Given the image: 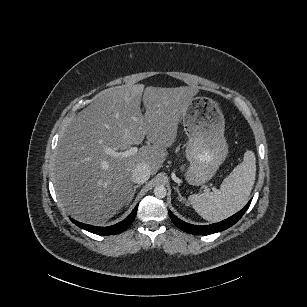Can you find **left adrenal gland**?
<instances>
[{
  "mask_svg": "<svg viewBox=\"0 0 307 307\" xmlns=\"http://www.w3.org/2000/svg\"><path fill=\"white\" fill-rule=\"evenodd\" d=\"M175 190L178 193V198H180V201H185L186 199L180 194L178 187H176Z\"/></svg>",
  "mask_w": 307,
  "mask_h": 307,
  "instance_id": "left-adrenal-gland-1",
  "label": "left adrenal gland"
}]
</instances>
